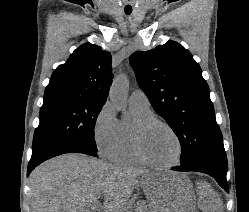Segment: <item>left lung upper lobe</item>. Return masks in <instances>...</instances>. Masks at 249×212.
<instances>
[{
    "mask_svg": "<svg viewBox=\"0 0 249 212\" xmlns=\"http://www.w3.org/2000/svg\"><path fill=\"white\" fill-rule=\"evenodd\" d=\"M140 88L177 135L181 165L224 147L209 87L191 53L174 41L130 56Z\"/></svg>",
    "mask_w": 249,
    "mask_h": 212,
    "instance_id": "left-lung-upper-lobe-1",
    "label": "left lung upper lobe"
}]
</instances>
